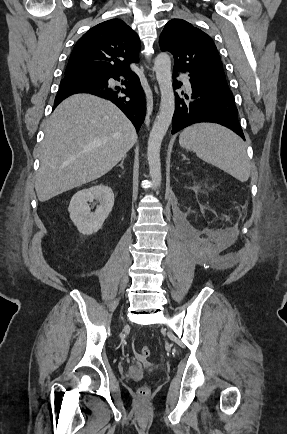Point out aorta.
<instances>
[{
	"mask_svg": "<svg viewBox=\"0 0 287 434\" xmlns=\"http://www.w3.org/2000/svg\"><path fill=\"white\" fill-rule=\"evenodd\" d=\"M154 69L161 92V102L158 115L153 124L148 139L147 160L154 188L161 185L160 149L162 140L171 124L175 110V96L172 85L171 59L165 52L155 58Z\"/></svg>",
	"mask_w": 287,
	"mask_h": 434,
	"instance_id": "aorta-1",
	"label": "aorta"
}]
</instances>
